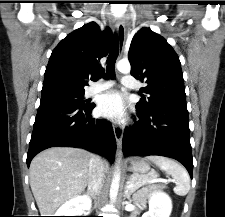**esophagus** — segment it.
I'll return each mask as SVG.
<instances>
[{"label":"esophagus","instance_id":"1","mask_svg":"<svg viewBox=\"0 0 225 217\" xmlns=\"http://www.w3.org/2000/svg\"><path fill=\"white\" fill-rule=\"evenodd\" d=\"M116 30H117V37H118V44H119V51H122L125 41V24L121 18H119L116 22ZM115 139L117 142V146L120 147L123 137V129L121 126L115 124L113 126Z\"/></svg>","mask_w":225,"mask_h":217}]
</instances>
